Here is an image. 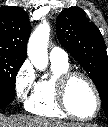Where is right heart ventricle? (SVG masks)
<instances>
[{
    "instance_id": "obj_1",
    "label": "right heart ventricle",
    "mask_w": 108,
    "mask_h": 127,
    "mask_svg": "<svg viewBox=\"0 0 108 127\" xmlns=\"http://www.w3.org/2000/svg\"><path fill=\"white\" fill-rule=\"evenodd\" d=\"M52 75L40 80L27 102V110L42 117L65 118V114L58 105L56 96V82L60 75L69 71L68 63L51 62Z\"/></svg>"
}]
</instances>
